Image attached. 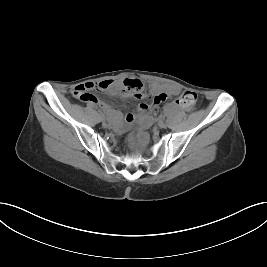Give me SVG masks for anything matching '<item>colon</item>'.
Wrapping results in <instances>:
<instances>
[{"instance_id": "5ec220e1", "label": "colon", "mask_w": 267, "mask_h": 267, "mask_svg": "<svg viewBox=\"0 0 267 267\" xmlns=\"http://www.w3.org/2000/svg\"><path fill=\"white\" fill-rule=\"evenodd\" d=\"M111 84V81H102L99 83H85L82 86H79L75 90V96L77 99L81 101H88L94 98V96L90 93V91L104 90L107 88V85ZM125 91L134 95L137 98L142 97V85L137 80L127 79L124 82ZM167 99V95L165 93H161L153 98V102L156 104H160ZM197 102V94L193 91H185L180 98L178 99V103L186 110H192Z\"/></svg>"}]
</instances>
